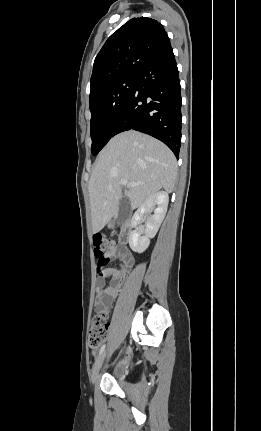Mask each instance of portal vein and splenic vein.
Listing matches in <instances>:
<instances>
[{"mask_svg":"<svg viewBox=\"0 0 261 431\" xmlns=\"http://www.w3.org/2000/svg\"><path fill=\"white\" fill-rule=\"evenodd\" d=\"M120 184H121L122 186L135 187V186L140 185L141 183L128 182L126 179H122V180L120 181Z\"/></svg>","mask_w":261,"mask_h":431,"instance_id":"obj_1","label":"portal vein and splenic vein"}]
</instances>
